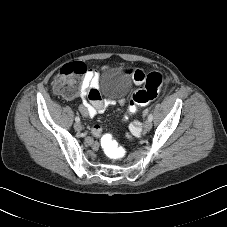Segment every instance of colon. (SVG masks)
<instances>
[{"label":"colon","instance_id":"1","mask_svg":"<svg viewBox=\"0 0 227 227\" xmlns=\"http://www.w3.org/2000/svg\"><path fill=\"white\" fill-rule=\"evenodd\" d=\"M84 72L83 66L80 63H70L63 67L61 72L56 76L53 87L56 92L65 97H73L79 86V77ZM133 80L139 81L143 78L141 71L132 73ZM166 76L161 72H151L144 77V85L135 91L129 99V111L134 113L138 106L148 104L155 99L166 82ZM99 91L92 89L89 98L92 101L99 99ZM101 146L110 159H120L125 150L118 146L111 136H104L101 139Z\"/></svg>","mask_w":227,"mask_h":227}]
</instances>
